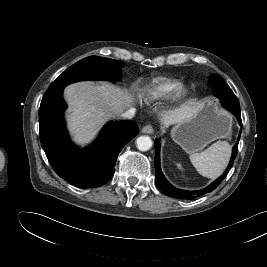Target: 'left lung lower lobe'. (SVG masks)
Here are the masks:
<instances>
[{
    "label": "left lung lower lobe",
    "instance_id": "1",
    "mask_svg": "<svg viewBox=\"0 0 267 267\" xmlns=\"http://www.w3.org/2000/svg\"><path fill=\"white\" fill-rule=\"evenodd\" d=\"M220 101L222 103V106L226 109H228L231 113H233L237 120L239 125L242 127V121H241V114H240V104L237 99V97L234 95L233 92H229L225 95H222L220 98ZM241 134V132H240ZM240 134L238 136V140L236 144L233 147L232 151V157L230 159V163L223 173L222 176H220L216 181L211 183L208 187L198 190V191H186V190H180L172 186L164 177L163 173L161 172L160 168V142L158 139H155V183L157 187L160 189L162 193H164L167 196L174 197V198H180V199H193L195 197L200 196L201 194L205 192H209L213 190L216 186L219 185V183L223 180V178L227 175L229 169L231 168L234 158L237 154V148H238V142L240 139Z\"/></svg>",
    "mask_w": 267,
    "mask_h": 267
}]
</instances>
